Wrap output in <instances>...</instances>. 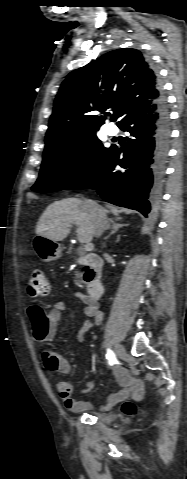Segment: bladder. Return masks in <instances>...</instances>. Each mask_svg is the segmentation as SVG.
<instances>
[{"mask_svg":"<svg viewBox=\"0 0 187 479\" xmlns=\"http://www.w3.org/2000/svg\"><path fill=\"white\" fill-rule=\"evenodd\" d=\"M95 418H96L98 421H100V422H102V423H104V424H108V423L111 422V420H110L107 416L102 415V414H97V415H95Z\"/></svg>","mask_w":187,"mask_h":479,"instance_id":"1","label":"bladder"}]
</instances>
